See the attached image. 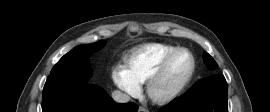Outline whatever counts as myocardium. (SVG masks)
<instances>
[{
    "mask_svg": "<svg viewBox=\"0 0 270 112\" xmlns=\"http://www.w3.org/2000/svg\"><path fill=\"white\" fill-rule=\"evenodd\" d=\"M180 52H186L190 56L191 68H190L188 74L183 79V81L172 91L165 93V94H162V95L156 94L155 89H156L157 84L159 83V81L163 77L171 60ZM195 72H196V59H195L193 53L189 49L184 48V47L175 48L173 51L168 53L162 59L160 64L157 66L155 71L152 73V75L147 80L146 91H147L148 97L151 99V101H153L156 104H160V105L168 104V103L176 100L187 89V87L189 86V84L191 83V81L195 75Z\"/></svg>",
    "mask_w": 270,
    "mask_h": 112,
    "instance_id": "1",
    "label": "myocardium"
}]
</instances>
